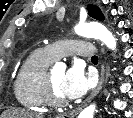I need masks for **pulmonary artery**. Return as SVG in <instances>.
Masks as SVG:
<instances>
[{"label": "pulmonary artery", "instance_id": "pulmonary-artery-1", "mask_svg": "<svg viewBox=\"0 0 133 118\" xmlns=\"http://www.w3.org/2000/svg\"><path fill=\"white\" fill-rule=\"evenodd\" d=\"M43 50L53 61L72 54L92 58L95 53L94 46L84 40H62L46 45Z\"/></svg>", "mask_w": 133, "mask_h": 118}]
</instances>
